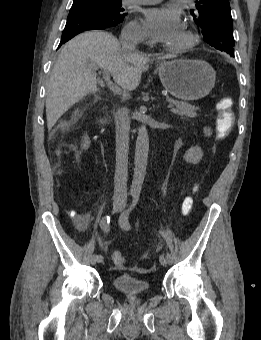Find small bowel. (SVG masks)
Listing matches in <instances>:
<instances>
[{"label":"small bowel","instance_id":"small-bowel-1","mask_svg":"<svg viewBox=\"0 0 261 340\" xmlns=\"http://www.w3.org/2000/svg\"><path fill=\"white\" fill-rule=\"evenodd\" d=\"M90 216L88 214H79L75 217V224L79 231H84L88 227Z\"/></svg>","mask_w":261,"mask_h":340}]
</instances>
